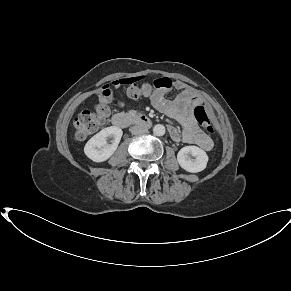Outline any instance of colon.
Listing matches in <instances>:
<instances>
[{
	"label": "colon",
	"instance_id": "colon-1",
	"mask_svg": "<svg viewBox=\"0 0 291 291\" xmlns=\"http://www.w3.org/2000/svg\"><path fill=\"white\" fill-rule=\"evenodd\" d=\"M113 84L126 85L127 94L130 98L137 99L141 96H147L157 87H168V80L149 82L143 77H133L120 79ZM99 101L94 110H83L74 119L75 138L83 140L87 136L98 132L106 123L111 110L110 103L112 100V92L109 85H104L98 91ZM193 114L198 123L210 134H216L218 131L212 112L208 105L198 104L194 107Z\"/></svg>",
	"mask_w": 291,
	"mask_h": 291
}]
</instances>
